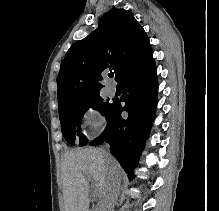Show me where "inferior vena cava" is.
<instances>
[{
	"label": "inferior vena cava",
	"instance_id": "602c4592",
	"mask_svg": "<svg viewBox=\"0 0 219 211\" xmlns=\"http://www.w3.org/2000/svg\"><path fill=\"white\" fill-rule=\"evenodd\" d=\"M106 149H109L110 145L107 143L105 145ZM106 149H103L104 151V159L106 161V170L110 171L111 178H109V183H107V188L105 189V192L107 193V197H104V202H102V207L106 208H98L97 211H112L111 207H115V202H117V198H120V189L121 188V183L122 179H124V174H119L118 170H115L114 166H109L111 163V155L109 151H106Z\"/></svg>",
	"mask_w": 219,
	"mask_h": 211
}]
</instances>
